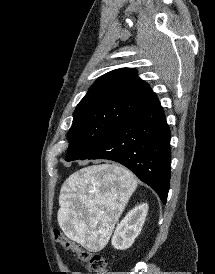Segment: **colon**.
Returning <instances> with one entry per match:
<instances>
[{
    "instance_id": "5ec220e1",
    "label": "colon",
    "mask_w": 215,
    "mask_h": 274,
    "mask_svg": "<svg viewBox=\"0 0 215 274\" xmlns=\"http://www.w3.org/2000/svg\"><path fill=\"white\" fill-rule=\"evenodd\" d=\"M54 235L55 239L63 247L76 253L78 261L82 264H86L92 274H111L108 268L107 259L104 256L83 249L57 229L54 231Z\"/></svg>"
}]
</instances>
